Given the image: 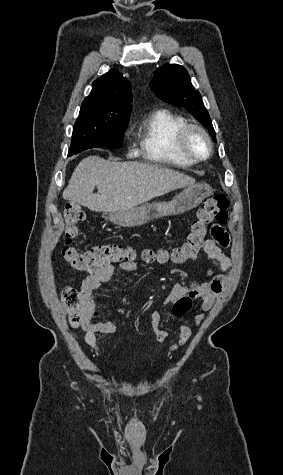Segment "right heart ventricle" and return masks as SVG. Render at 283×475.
Listing matches in <instances>:
<instances>
[{
    "mask_svg": "<svg viewBox=\"0 0 283 475\" xmlns=\"http://www.w3.org/2000/svg\"><path fill=\"white\" fill-rule=\"evenodd\" d=\"M187 120L167 108H159L133 126L134 135L139 145L138 152L149 161L166 162L162 157V146L172 145V139ZM176 156H182L178 153ZM190 162V161H186Z\"/></svg>",
    "mask_w": 283,
    "mask_h": 475,
    "instance_id": "right-heart-ventricle-1",
    "label": "right heart ventricle"
}]
</instances>
